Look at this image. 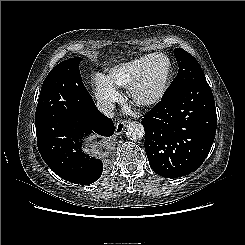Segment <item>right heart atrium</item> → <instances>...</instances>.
Instances as JSON below:
<instances>
[{
    "label": "right heart atrium",
    "mask_w": 245,
    "mask_h": 245,
    "mask_svg": "<svg viewBox=\"0 0 245 245\" xmlns=\"http://www.w3.org/2000/svg\"><path fill=\"white\" fill-rule=\"evenodd\" d=\"M95 89L98 100L105 106L110 107L111 104L119 97V93L102 75L95 76Z\"/></svg>",
    "instance_id": "obj_1"
}]
</instances>
